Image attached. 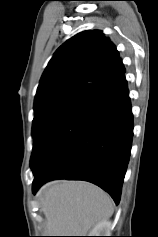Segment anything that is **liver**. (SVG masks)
Returning <instances> with one entry per match:
<instances>
[{
    "label": "liver",
    "instance_id": "obj_1",
    "mask_svg": "<svg viewBox=\"0 0 158 237\" xmlns=\"http://www.w3.org/2000/svg\"><path fill=\"white\" fill-rule=\"evenodd\" d=\"M47 236H86L109 219L114 206L99 187L82 181H52L38 191Z\"/></svg>",
    "mask_w": 158,
    "mask_h": 237
}]
</instances>
